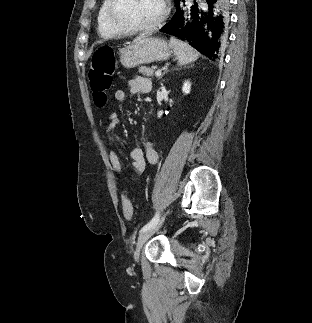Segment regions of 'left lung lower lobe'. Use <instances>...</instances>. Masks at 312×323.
<instances>
[{
  "mask_svg": "<svg viewBox=\"0 0 312 323\" xmlns=\"http://www.w3.org/2000/svg\"><path fill=\"white\" fill-rule=\"evenodd\" d=\"M205 1L207 5L203 9H198L196 3L190 9L179 3L173 18L161 31L188 42L201 54L215 60L221 57L227 42L229 3Z\"/></svg>",
  "mask_w": 312,
  "mask_h": 323,
  "instance_id": "obj_1",
  "label": "left lung lower lobe"
}]
</instances>
